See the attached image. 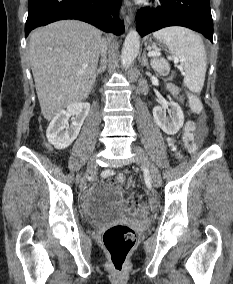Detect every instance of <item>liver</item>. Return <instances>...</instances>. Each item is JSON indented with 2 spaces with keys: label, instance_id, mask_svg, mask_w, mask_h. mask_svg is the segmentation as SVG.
Returning a JSON list of instances; mask_svg holds the SVG:
<instances>
[{
  "label": "liver",
  "instance_id": "6515ba94",
  "mask_svg": "<svg viewBox=\"0 0 233 284\" xmlns=\"http://www.w3.org/2000/svg\"><path fill=\"white\" fill-rule=\"evenodd\" d=\"M101 43L97 28L76 20L57 21L31 33V69L46 120L88 97L96 79Z\"/></svg>",
  "mask_w": 233,
  "mask_h": 284
}]
</instances>
